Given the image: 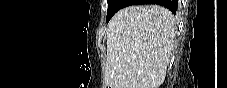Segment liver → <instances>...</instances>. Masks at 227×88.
Returning <instances> with one entry per match:
<instances>
[{"label": "liver", "instance_id": "6515ba94", "mask_svg": "<svg viewBox=\"0 0 227 88\" xmlns=\"http://www.w3.org/2000/svg\"><path fill=\"white\" fill-rule=\"evenodd\" d=\"M176 36L174 15L160 5L118 11L107 31L104 83L110 88H159Z\"/></svg>", "mask_w": 227, "mask_h": 88}]
</instances>
